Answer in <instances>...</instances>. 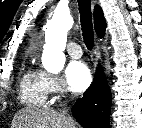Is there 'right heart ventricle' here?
<instances>
[{
  "label": "right heart ventricle",
  "mask_w": 142,
  "mask_h": 128,
  "mask_svg": "<svg viewBox=\"0 0 142 128\" xmlns=\"http://www.w3.org/2000/svg\"><path fill=\"white\" fill-rule=\"evenodd\" d=\"M20 97L29 106H44L47 103L48 94L41 71L29 68L24 73L20 83Z\"/></svg>",
  "instance_id": "1"
}]
</instances>
